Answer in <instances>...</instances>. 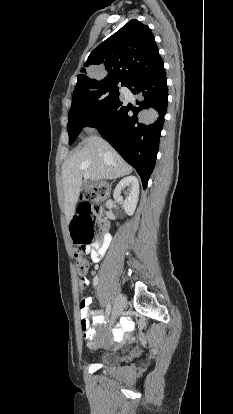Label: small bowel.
I'll return each instance as SVG.
<instances>
[{"label":"small bowel","instance_id":"small-bowel-1","mask_svg":"<svg viewBox=\"0 0 233 414\" xmlns=\"http://www.w3.org/2000/svg\"><path fill=\"white\" fill-rule=\"evenodd\" d=\"M109 245V235L104 234L103 237L88 246L85 249V254L90 255L93 262H99L107 252ZM80 283H83L84 287L90 288L93 285V279L85 272L79 273ZM92 298L85 296L82 297L80 302V317L83 337L87 340L90 346H94V340L98 332V328L105 323L106 316L96 314L91 308ZM133 329V323L129 319H125L120 323V327L115 328L112 332L113 341L117 344L122 343L127 334Z\"/></svg>","mask_w":233,"mask_h":414}]
</instances>
